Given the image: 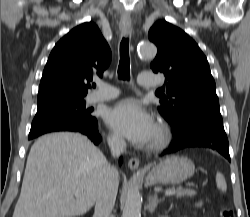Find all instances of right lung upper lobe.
Wrapping results in <instances>:
<instances>
[{
  "mask_svg": "<svg viewBox=\"0 0 250 217\" xmlns=\"http://www.w3.org/2000/svg\"><path fill=\"white\" fill-rule=\"evenodd\" d=\"M111 50L92 22L72 29L53 48L40 82L38 108L83 99L93 75L102 76Z\"/></svg>",
  "mask_w": 250,
  "mask_h": 217,
  "instance_id": "obj_1",
  "label": "right lung upper lobe"
}]
</instances>
